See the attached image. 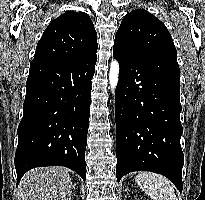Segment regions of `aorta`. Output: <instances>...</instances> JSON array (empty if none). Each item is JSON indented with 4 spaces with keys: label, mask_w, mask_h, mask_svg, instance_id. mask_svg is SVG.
<instances>
[{
    "label": "aorta",
    "mask_w": 205,
    "mask_h": 200,
    "mask_svg": "<svg viewBox=\"0 0 205 200\" xmlns=\"http://www.w3.org/2000/svg\"><path fill=\"white\" fill-rule=\"evenodd\" d=\"M119 81V64L118 61L112 60L109 70V83L112 93H114Z\"/></svg>",
    "instance_id": "obj_1"
}]
</instances>
